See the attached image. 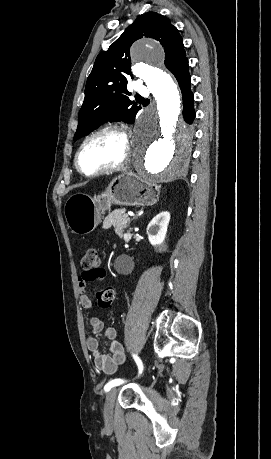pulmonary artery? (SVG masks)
Masks as SVG:
<instances>
[{
	"label": "pulmonary artery",
	"instance_id": "1",
	"mask_svg": "<svg viewBox=\"0 0 271 459\" xmlns=\"http://www.w3.org/2000/svg\"><path fill=\"white\" fill-rule=\"evenodd\" d=\"M137 87V91L140 93V96L142 98H147L149 96V91L147 89H144L141 83H138Z\"/></svg>",
	"mask_w": 271,
	"mask_h": 459
}]
</instances>
